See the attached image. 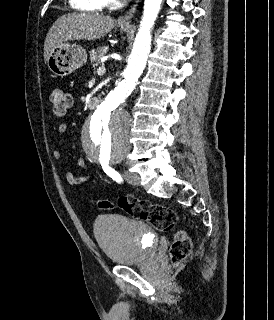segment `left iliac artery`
Segmentation results:
<instances>
[{
	"instance_id": "44dca946",
	"label": "left iliac artery",
	"mask_w": 274,
	"mask_h": 320,
	"mask_svg": "<svg viewBox=\"0 0 274 320\" xmlns=\"http://www.w3.org/2000/svg\"><path fill=\"white\" fill-rule=\"evenodd\" d=\"M101 165L104 172L113 180L117 181L118 183H121L123 181L121 175L117 171H115L113 168H111L108 162H101Z\"/></svg>"
}]
</instances>
